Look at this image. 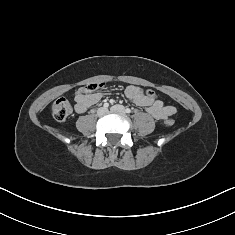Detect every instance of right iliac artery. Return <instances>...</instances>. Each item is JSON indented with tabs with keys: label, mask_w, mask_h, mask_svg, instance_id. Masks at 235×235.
<instances>
[{
	"label": "right iliac artery",
	"mask_w": 235,
	"mask_h": 235,
	"mask_svg": "<svg viewBox=\"0 0 235 235\" xmlns=\"http://www.w3.org/2000/svg\"><path fill=\"white\" fill-rule=\"evenodd\" d=\"M103 107H104V108H108V107H109V104H108V103H104Z\"/></svg>",
	"instance_id": "right-iliac-artery-1"
}]
</instances>
